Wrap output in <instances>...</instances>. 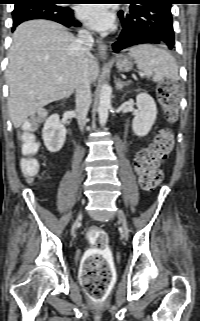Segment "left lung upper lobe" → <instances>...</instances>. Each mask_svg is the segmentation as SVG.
Listing matches in <instances>:
<instances>
[{
    "label": "left lung upper lobe",
    "mask_w": 200,
    "mask_h": 321,
    "mask_svg": "<svg viewBox=\"0 0 200 321\" xmlns=\"http://www.w3.org/2000/svg\"><path fill=\"white\" fill-rule=\"evenodd\" d=\"M124 3H128V2H131V1H134V0H122ZM173 1V0H172Z\"/></svg>",
    "instance_id": "5c2ea615"
}]
</instances>
